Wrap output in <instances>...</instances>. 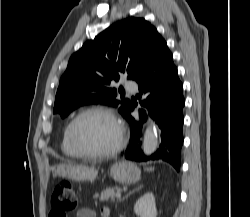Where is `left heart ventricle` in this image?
<instances>
[{
    "label": "left heart ventricle",
    "mask_w": 250,
    "mask_h": 217,
    "mask_svg": "<svg viewBox=\"0 0 250 217\" xmlns=\"http://www.w3.org/2000/svg\"><path fill=\"white\" fill-rule=\"evenodd\" d=\"M75 137L83 150L102 152L114 146L118 133L109 117L101 113H91L77 122Z\"/></svg>",
    "instance_id": "1"
}]
</instances>
